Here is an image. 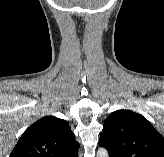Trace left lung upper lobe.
<instances>
[{
	"instance_id": "obj_1",
	"label": "left lung upper lobe",
	"mask_w": 164,
	"mask_h": 157,
	"mask_svg": "<svg viewBox=\"0 0 164 157\" xmlns=\"http://www.w3.org/2000/svg\"><path fill=\"white\" fill-rule=\"evenodd\" d=\"M99 144L116 157H164V138L142 115L112 112L105 120Z\"/></svg>"
}]
</instances>
